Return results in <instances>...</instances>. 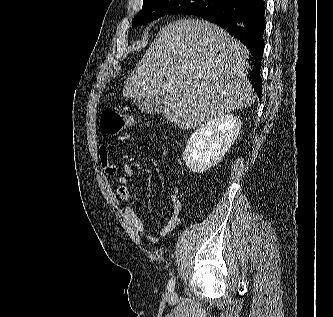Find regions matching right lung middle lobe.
<instances>
[{"label": "right lung middle lobe", "mask_w": 333, "mask_h": 317, "mask_svg": "<svg viewBox=\"0 0 333 317\" xmlns=\"http://www.w3.org/2000/svg\"><path fill=\"white\" fill-rule=\"evenodd\" d=\"M224 0H144L132 25H142L170 14L197 15L225 4Z\"/></svg>", "instance_id": "dd1d6c3e"}]
</instances>
